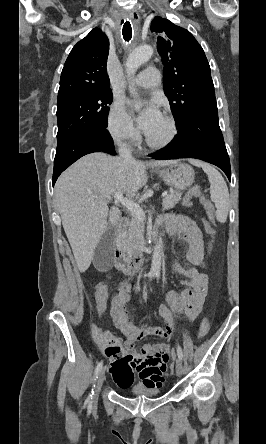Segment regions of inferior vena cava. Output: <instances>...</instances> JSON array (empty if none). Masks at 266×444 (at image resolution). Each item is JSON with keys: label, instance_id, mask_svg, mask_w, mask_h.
I'll use <instances>...</instances> for the list:
<instances>
[{"label": "inferior vena cava", "instance_id": "1", "mask_svg": "<svg viewBox=\"0 0 266 444\" xmlns=\"http://www.w3.org/2000/svg\"><path fill=\"white\" fill-rule=\"evenodd\" d=\"M119 155L124 160H133L131 150L127 147L126 144H120L119 145Z\"/></svg>", "mask_w": 266, "mask_h": 444}]
</instances>
